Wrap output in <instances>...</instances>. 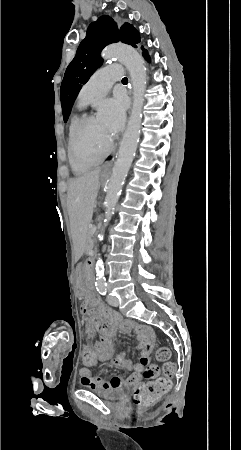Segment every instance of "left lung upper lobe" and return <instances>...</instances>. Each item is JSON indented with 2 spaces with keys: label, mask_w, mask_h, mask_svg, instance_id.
I'll return each instance as SVG.
<instances>
[{
  "label": "left lung upper lobe",
  "mask_w": 241,
  "mask_h": 450,
  "mask_svg": "<svg viewBox=\"0 0 241 450\" xmlns=\"http://www.w3.org/2000/svg\"><path fill=\"white\" fill-rule=\"evenodd\" d=\"M119 41L137 47L140 34L129 23H124L118 28L114 20L107 15L99 17L96 22L89 25L86 38L80 43L61 84L60 97L65 122L82 85L102 65L101 50L108 44Z\"/></svg>",
  "instance_id": "1"
}]
</instances>
